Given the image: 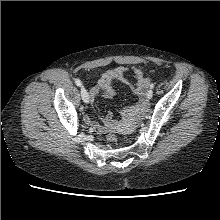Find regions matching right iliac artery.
<instances>
[{"label":"right iliac artery","instance_id":"obj_1","mask_svg":"<svg viewBox=\"0 0 220 220\" xmlns=\"http://www.w3.org/2000/svg\"><path fill=\"white\" fill-rule=\"evenodd\" d=\"M75 83L79 87L82 85V83H81V81L79 79H75Z\"/></svg>","mask_w":220,"mask_h":220}]
</instances>
